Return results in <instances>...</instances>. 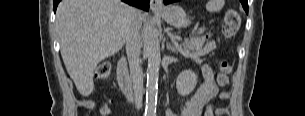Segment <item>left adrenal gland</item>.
I'll return each mask as SVG.
<instances>
[{"instance_id": "a2214340", "label": "left adrenal gland", "mask_w": 305, "mask_h": 116, "mask_svg": "<svg viewBox=\"0 0 305 116\" xmlns=\"http://www.w3.org/2000/svg\"><path fill=\"white\" fill-rule=\"evenodd\" d=\"M167 49H168V50H171V51L174 52V53H178L177 48H175L173 45H171L170 42H167Z\"/></svg>"}]
</instances>
